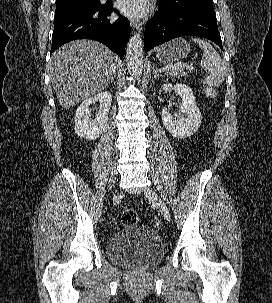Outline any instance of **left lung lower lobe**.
Returning <instances> with one entry per match:
<instances>
[{
  "mask_svg": "<svg viewBox=\"0 0 272 303\" xmlns=\"http://www.w3.org/2000/svg\"><path fill=\"white\" fill-rule=\"evenodd\" d=\"M185 35L207 38L223 50L214 9L167 11L161 7L146 23L144 49L147 52L159 44Z\"/></svg>",
  "mask_w": 272,
  "mask_h": 303,
  "instance_id": "0a47b994",
  "label": "left lung lower lobe"
}]
</instances>
